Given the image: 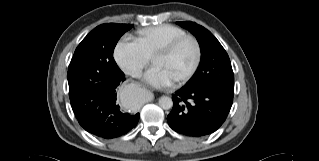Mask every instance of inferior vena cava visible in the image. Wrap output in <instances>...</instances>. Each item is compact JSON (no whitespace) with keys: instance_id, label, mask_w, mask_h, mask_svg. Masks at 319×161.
<instances>
[{"instance_id":"inferior-vena-cava-1","label":"inferior vena cava","mask_w":319,"mask_h":161,"mask_svg":"<svg viewBox=\"0 0 319 161\" xmlns=\"http://www.w3.org/2000/svg\"><path fill=\"white\" fill-rule=\"evenodd\" d=\"M128 74L132 77L140 78L142 75V71L140 69L134 68L128 71Z\"/></svg>"}]
</instances>
